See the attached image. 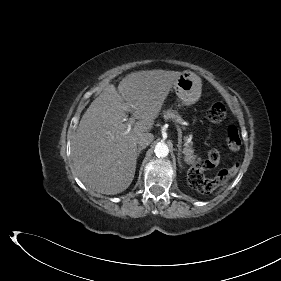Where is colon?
I'll return each instance as SVG.
<instances>
[{
  "instance_id": "colon-1",
  "label": "colon",
  "mask_w": 281,
  "mask_h": 281,
  "mask_svg": "<svg viewBox=\"0 0 281 281\" xmlns=\"http://www.w3.org/2000/svg\"><path fill=\"white\" fill-rule=\"evenodd\" d=\"M207 119L212 123H220L226 117V108L224 104L218 102L213 104L207 111ZM226 143L231 150H238L241 146V137L235 126H229L226 134ZM220 161L219 150L214 148L209 151L208 156L199 165L189 173V182L196 189L204 193H210L219 185L226 182L231 176L236 174L239 164L235 163L228 169L219 171L214 179L204 177L202 171L216 167Z\"/></svg>"
}]
</instances>
